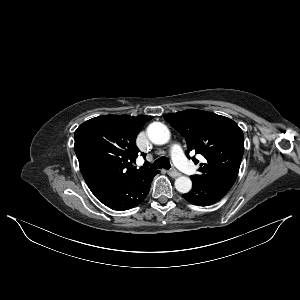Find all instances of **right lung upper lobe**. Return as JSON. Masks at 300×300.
I'll use <instances>...</instances> for the list:
<instances>
[{
	"label": "right lung upper lobe",
	"mask_w": 300,
	"mask_h": 300,
	"mask_svg": "<svg viewBox=\"0 0 300 300\" xmlns=\"http://www.w3.org/2000/svg\"><path fill=\"white\" fill-rule=\"evenodd\" d=\"M152 116L105 115L92 118L75 131L74 149L81 173L92 193L157 170L136 169L137 134ZM145 157L144 153H141Z\"/></svg>",
	"instance_id": "right-lung-upper-lobe-1"
}]
</instances>
